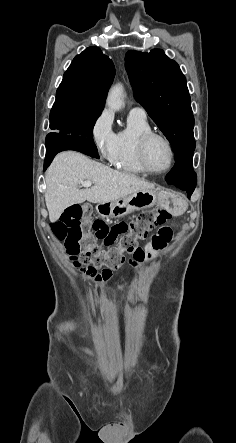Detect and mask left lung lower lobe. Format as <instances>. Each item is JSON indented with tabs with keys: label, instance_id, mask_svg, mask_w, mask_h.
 Returning a JSON list of instances; mask_svg holds the SVG:
<instances>
[{
	"label": "left lung lower lobe",
	"instance_id": "left-lung-lower-lobe-1",
	"mask_svg": "<svg viewBox=\"0 0 236 443\" xmlns=\"http://www.w3.org/2000/svg\"><path fill=\"white\" fill-rule=\"evenodd\" d=\"M165 180L168 184L185 190L188 198H190L197 182V175L193 170V152L176 160L174 167L167 174Z\"/></svg>",
	"mask_w": 236,
	"mask_h": 443
}]
</instances>
